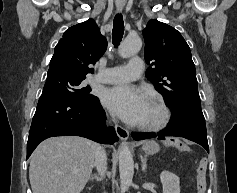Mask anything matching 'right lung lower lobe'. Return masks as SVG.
Listing matches in <instances>:
<instances>
[{"label": "right lung lower lobe", "mask_w": 237, "mask_h": 193, "mask_svg": "<svg viewBox=\"0 0 237 193\" xmlns=\"http://www.w3.org/2000/svg\"><path fill=\"white\" fill-rule=\"evenodd\" d=\"M105 122V111L98 98L76 103L61 95L42 94L29 132L27 158L41 141L53 136L75 135L113 144L119 138L114 128L106 127Z\"/></svg>", "instance_id": "obj_1"}]
</instances>
